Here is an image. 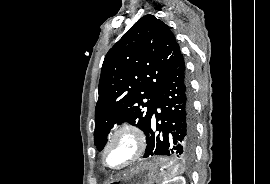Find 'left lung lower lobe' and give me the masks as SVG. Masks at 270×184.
Masks as SVG:
<instances>
[{
    "label": "left lung lower lobe",
    "instance_id": "left-lung-lower-lobe-1",
    "mask_svg": "<svg viewBox=\"0 0 270 184\" xmlns=\"http://www.w3.org/2000/svg\"><path fill=\"white\" fill-rule=\"evenodd\" d=\"M145 134V158L160 155L188 161L194 156V112L182 54L159 89Z\"/></svg>",
    "mask_w": 270,
    "mask_h": 184
}]
</instances>
